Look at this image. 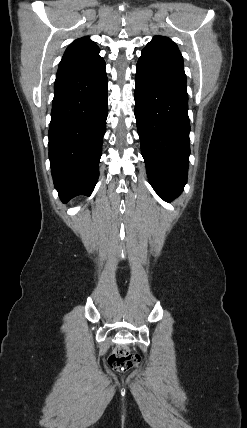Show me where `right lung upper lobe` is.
<instances>
[{"label":"right lung upper lobe","instance_id":"1","mask_svg":"<svg viewBox=\"0 0 247 428\" xmlns=\"http://www.w3.org/2000/svg\"><path fill=\"white\" fill-rule=\"evenodd\" d=\"M99 56V47L88 37L73 41L66 49L58 71L86 64Z\"/></svg>","mask_w":247,"mask_h":428}]
</instances>
